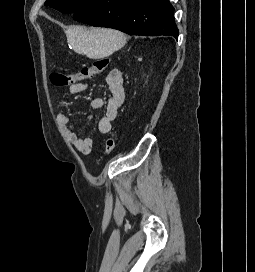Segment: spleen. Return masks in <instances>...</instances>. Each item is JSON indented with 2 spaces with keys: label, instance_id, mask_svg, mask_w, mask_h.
Masks as SVG:
<instances>
[{
  "label": "spleen",
  "instance_id": "1",
  "mask_svg": "<svg viewBox=\"0 0 255 272\" xmlns=\"http://www.w3.org/2000/svg\"><path fill=\"white\" fill-rule=\"evenodd\" d=\"M66 35L74 51L93 59L110 56L126 43L122 32L106 28L89 29L76 25L69 27Z\"/></svg>",
  "mask_w": 255,
  "mask_h": 272
}]
</instances>
